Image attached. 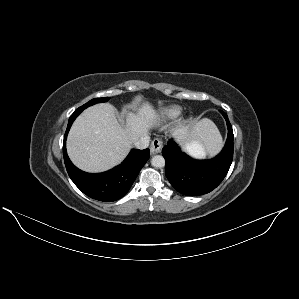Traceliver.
Listing matches in <instances>:
<instances>
[{"instance_id":"obj_1","label":"liver","mask_w":299,"mask_h":299,"mask_svg":"<svg viewBox=\"0 0 299 299\" xmlns=\"http://www.w3.org/2000/svg\"><path fill=\"white\" fill-rule=\"evenodd\" d=\"M136 112L126 111V124L120 125L115 109L108 103L91 106L73 123L68 138L67 152L71 161L81 170L91 173L106 171L119 163L129 153L133 142L160 125L154 106L143 102ZM183 129L175 130L180 134ZM193 136L211 147L220 145L218 129L205 121L193 127Z\"/></svg>"}]
</instances>
